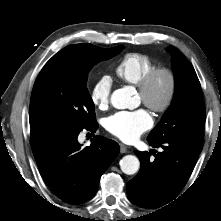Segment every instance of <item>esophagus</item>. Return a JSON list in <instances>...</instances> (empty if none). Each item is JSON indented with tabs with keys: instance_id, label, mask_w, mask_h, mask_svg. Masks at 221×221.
I'll use <instances>...</instances> for the list:
<instances>
[{
	"instance_id": "esophagus-1",
	"label": "esophagus",
	"mask_w": 221,
	"mask_h": 221,
	"mask_svg": "<svg viewBox=\"0 0 221 221\" xmlns=\"http://www.w3.org/2000/svg\"><path fill=\"white\" fill-rule=\"evenodd\" d=\"M128 150L127 146L124 145L123 143H120V152L121 153H126Z\"/></svg>"
}]
</instances>
